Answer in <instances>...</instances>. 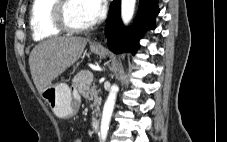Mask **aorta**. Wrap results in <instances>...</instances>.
<instances>
[{"instance_id": "762f6f07", "label": "aorta", "mask_w": 227, "mask_h": 142, "mask_svg": "<svg viewBox=\"0 0 227 142\" xmlns=\"http://www.w3.org/2000/svg\"><path fill=\"white\" fill-rule=\"evenodd\" d=\"M135 5H136V0L121 1V17L124 24H128L131 21L134 15ZM117 92H118V86L112 85L110 93L103 107L102 119H101V125H100V135L103 141L106 139L108 134L111 116L115 106Z\"/></svg>"}]
</instances>
